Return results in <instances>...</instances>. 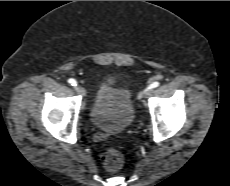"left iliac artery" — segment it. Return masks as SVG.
<instances>
[{"label": "left iliac artery", "instance_id": "obj_1", "mask_svg": "<svg viewBox=\"0 0 230 186\" xmlns=\"http://www.w3.org/2000/svg\"><path fill=\"white\" fill-rule=\"evenodd\" d=\"M159 85H160L159 82H153L152 84H150V85L148 86V88H147L146 90L156 88V87H158Z\"/></svg>", "mask_w": 230, "mask_h": 186}]
</instances>
